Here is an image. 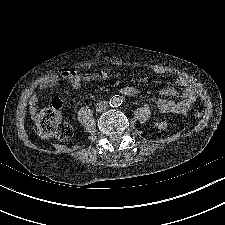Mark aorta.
<instances>
[{
	"instance_id": "1",
	"label": "aorta",
	"mask_w": 225,
	"mask_h": 225,
	"mask_svg": "<svg viewBox=\"0 0 225 225\" xmlns=\"http://www.w3.org/2000/svg\"><path fill=\"white\" fill-rule=\"evenodd\" d=\"M121 97L119 95H114L110 101H109V104L111 107H118L121 105Z\"/></svg>"
}]
</instances>
